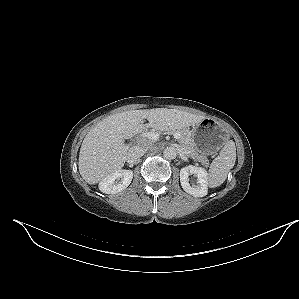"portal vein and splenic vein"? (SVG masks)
<instances>
[{
    "instance_id": "1",
    "label": "portal vein and splenic vein",
    "mask_w": 299,
    "mask_h": 299,
    "mask_svg": "<svg viewBox=\"0 0 299 299\" xmlns=\"http://www.w3.org/2000/svg\"><path fill=\"white\" fill-rule=\"evenodd\" d=\"M143 136L147 137L148 139H150L152 141H157L159 139V133H157V132H147V133H144ZM173 137L175 139H179L180 134L179 133H173Z\"/></svg>"
}]
</instances>
